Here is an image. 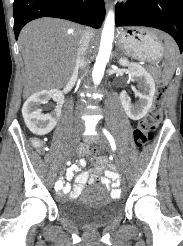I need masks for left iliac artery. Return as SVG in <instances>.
<instances>
[{"instance_id": "44dca946", "label": "left iliac artery", "mask_w": 183, "mask_h": 246, "mask_svg": "<svg viewBox=\"0 0 183 246\" xmlns=\"http://www.w3.org/2000/svg\"><path fill=\"white\" fill-rule=\"evenodd\" d=\"M103 133L106 136V138L108 139L112 150H115L116 149V144H115V140H114L113 136L105 128L103 129Z\"/></svg>"}]
</instances>
